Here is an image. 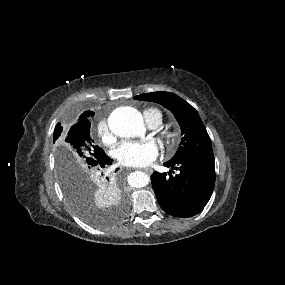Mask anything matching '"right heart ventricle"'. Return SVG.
Here are the masks:
<instances>
[{
    "label": "right heart ventricle",
    "mask_w": 285,
    "mask_h": 285,
    "mask_svg": "<svg viewBox=\"0 0 285 285\" xmlns=\"http://www.w3.org/2000/svg\"><path fill=\"white\" fill-rule=\"evenodd\" d=\"M144 117L146 122L149 125H157L159 126L163 119L162 112L157 108H148L144 112Z\"/></svg>",
    "instance_id": "e07e8e85"
}]
</instances>
